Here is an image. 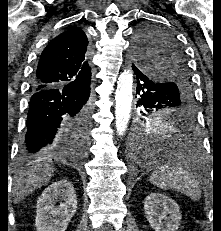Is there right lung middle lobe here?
Listing matches in <instances>:
<instances>
[{"label":"right lung middle lobe","mask_w":221,"mask_h":231,"mask_svg":"<svg viewBox=\"0 0 221 231\" xmlns=\"http://www.w3.org/2000/svg\"><path fill=\"white\" fill-rule=\"evenodd\" d=\"M89 123H90V108L83 111L78 115V117L70 122V128L73 135L85 143L88 142L89 139Z\"/></svg>","instance_id":"obj_1"}]
</instances>
